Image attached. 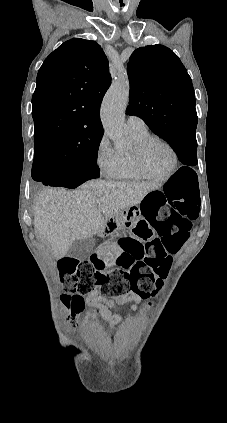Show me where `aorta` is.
<instances>
[{"mask_svg":"<svg viewBox=\"0 0 227 423\" xmlns=\"http://www.w3.org/2000/svg\"><path fill=\"white\" fill-rule=\"evenodd\" d=\"M129 97V82L126 77H120L113 82L107 91L100 109V116L105 133L114 142L116 147L126 145V133L124 129L125 110ZM113 256L108 254V267Z\"/></svg>","mask_w":227,"mask_h":423,"instance_id":"aorta-1","label":"aorta"}]
</instances>
